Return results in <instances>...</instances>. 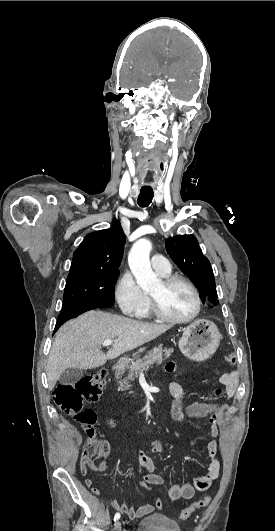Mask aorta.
Instances as JSON below:
<instances>
[{"instance_id":"762f6f07","label":"aorta","mask_w":275,"mask_h":531,"mask_svg":"<svg viewBox=\"0 0 275 531\" xmlns=\"http://www.w3.org/2000/svg\"><path fill=\"white\" fill-rule=\"evenodd\" d=\"M152 243L148 239H139L134 243L129 255L128 265L142 291L161 289L162 281L153 273L150 265Z\"/></svg>"}]
</instances>
